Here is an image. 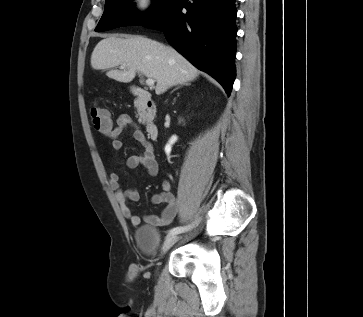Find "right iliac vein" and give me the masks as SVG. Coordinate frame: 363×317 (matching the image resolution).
Instances as JSON below:
<instances>
[{
  "label": "right iliac vein",
  "mask_w": 363,
  "mask_h": 317,
  "mask_svg": "<svg viewBox=\"0 0 363 317\" xmlns=\"http://www.w3.org/2000/svg\"><path fill=\"white\" fill-rule=\"evenodd\" d=\"M180 236L177 234H171L166 237L162 245V254H165L178 240Z\"/></svg>",
  "instance_id": "1"
}]
</instances>
